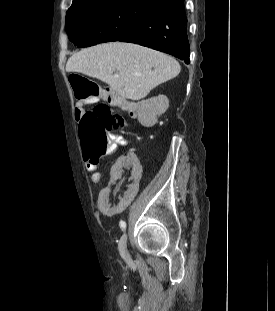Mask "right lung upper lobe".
Returning a JSON list of instances; mask_svg holds the SVG:
<instances>
[{
	"mask_svg": "<svg viewBox=\"0 0 275 311\" xmlns=\"http://www.w3.org/2000/svg\"><path fill=\"white\" fill-rule=\"evenodd\" d=\"M79 1H83V0H73V2H79ZM161 3H164V2H168L170 0H159Z\"/></svg>",
	"mask_w": 275,
	"mask_h": 311,
	"instance_id": "right-lung-upper-lobe-1",
	"label": "right lung upper lobe"
}]
</instances>
